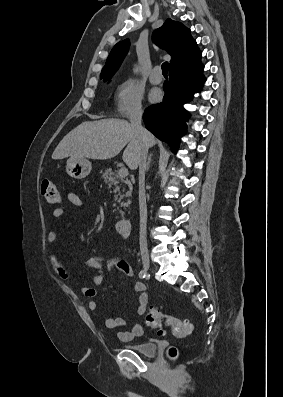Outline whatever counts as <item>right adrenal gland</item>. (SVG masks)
<instances>
[{
  "mask_svg": "<svg viewBox=\"0 0 283 397\" xmlns=\"http://www.w3.org/2000/svg\"><path fill=\"white\" fill-rule=\"evenodd\" d=\"M151 160H152V155H150V156H149V158H148V162H147V170H149V168H150V163H151Z\"/></svg>",
  "mask_w": 283,
  "mask_h": 397,
  "instance_id": "right-adrenal-gland-1",
  "label": "right adrenal gland"
}]
</instances>
